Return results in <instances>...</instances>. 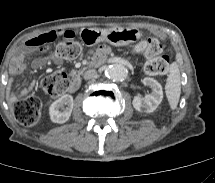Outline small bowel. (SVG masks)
<instances>
[{"label": "small bowel", "instance_id": "small-bowel-1", "mask_svg": "<svg viewBox=\"0 0 215 183\" xmlns=\"http://www.w3.org/2000/svg\"><path fill=\"white\" fill-rule=\"evenodd\" d=\"M66 32H68V30L47 31L38 36L32 37L27 41V48L37 50L36 48L37 43H41L43 45L42 47H44L45 45L53 42L60 34H63V33L65 34ZM50 63L58 64L60 63V60L54 56L42 57V58L36 59L33 64L35 67H44ZM26 67H27V63L24 59V54L22 53L17 57L16 61L14 62L13 66L10 69V73L12 76L20 75L25 71ZM32 87H33V84H30L29 86L22 88L19 93H17L14 90H11L9 92V98L11 100H14L17 98L18 95H24L28 93L32 89Z\"/></svg>", "mask_w": 215, "mask_h": 183}]
</instances>
